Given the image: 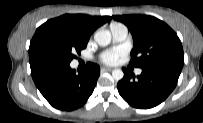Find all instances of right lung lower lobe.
I'll use <instances>...</instances> for the list:
<instances>
[{"label": "right lung lower lobe", "mask_w": 203, "mask_h": 123, "mask_svg": "<svg viewBox=\"0 0 203 123\" xmlns=\"http://www.w3.org/2000/svg\"><path fill=\"white\" fill-rule=\"evenodd\" d=\"M32 78L45 99L60 110H75L93 93L100 67L93 63L79 71L70 63L58 60H34L30 62Z\"/></svg>", "instance_id": "98d812e1"}]
</instances>
